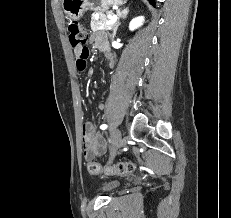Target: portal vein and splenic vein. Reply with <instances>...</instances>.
Returning a JSON list of instances; mask_svg holds the SVG:
<instances>
[{
    "instance_id": "portal-vein-and-splenic-vein-1",
    "label": "portal vein and splenic vein",
    "mask_w": 231,
    "mask_h": 218,
    "mask_svg": "<svg viewBox=\"0 0 231 218\" xmlns=\"http://www.w3.org/2000/svg\"><path fill=\"white\" fill-rule=\"evenodd\" d=\"M116 20H117V16L114 15L113 17H110L109 20L104 23V25H106V26L107 25H112V24H114L116 22Z\"/></svg>"
}]
</instances>
